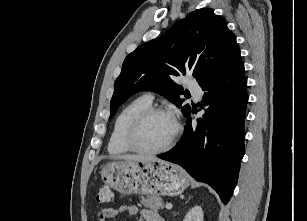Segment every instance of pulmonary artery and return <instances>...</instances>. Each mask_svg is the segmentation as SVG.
I'll use <instances>...</instances> for the list:
<instances>
[{
  "mask_svg": "<svg viewBox=\"0 0 307 221\" xmlns=\"http://www.w3.org/2000/svg\"><path fill=\"white\" fill-rule=\"evenodd\" d=\"M188 86H189V89L191 90V92L194 94V96L197 99H200L201 95H202V91H201V88H200L199 84L196 83V82H190L188 84ZM145 97L148 98L150 101L153 98V96L150 93L146 94Z\"/></svg>",
  "mask_w": 307,
  "mask_h": 221,
  "instance_id": "pulmonary-artery-1",
  "label": "pulmonary artery"
}]
</instances>
